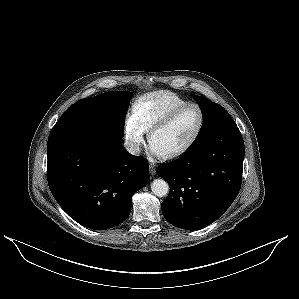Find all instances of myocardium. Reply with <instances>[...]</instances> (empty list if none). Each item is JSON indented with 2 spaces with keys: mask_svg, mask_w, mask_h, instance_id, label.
I'll return each mask as SVG.
<instances>
[{
  "mask_svg": "<svg viewBox=\"0 0 299 299\" xmlns=\"http://www.w3.org/2000/svg\"><path fill=\"white\" fill-rule=\"evenodd\" d=\"M191 107L197 108L199 113H200V122H199V125L197 127V130L195 131L192 138L182 148H180V149H178L174 152L161 155L164 159H167V160L176 159V158H179V157L183 156L184 154H186L188 151L191 150V148L198 141V139H199V137H200V135L203 131V128H204V125H205V120H206L205 111L197 103H187L183 106L178 107L174 111H172L170 114H168L166 117H164L159 122L155 123L149 129L148 141H149V143H151V140H152V138H153V136L155 135L156 132L166 128L167 126H169L181 113H183L185 110H187L188 108H191Z\"/></svg>",
  "mask_w": 299,
  "mask_h": 299,
  "instance_id": "1",
  "label": "myocardium"
}]
</instances>
